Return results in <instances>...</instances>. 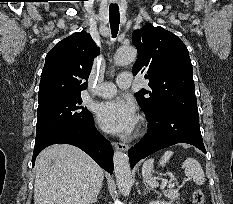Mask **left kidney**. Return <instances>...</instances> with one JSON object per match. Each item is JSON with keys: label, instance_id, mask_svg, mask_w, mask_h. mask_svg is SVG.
I'll return each instance as SVG.
<instances>
[{"label": "left kidney", "instance_id": "left-kidney-1", "mask_svg": "<svg viewBox=\"0 0 233 204\" xmlns=\"http://www.w3.org/2000/svg\"><path fill=\"white\" fill-rule=\"evenodd\" d=\"M149 204H171V203H168L166 201H152Z\"/></svg>", "mask_w": 233, "mask_h": 204}]
</instances>
